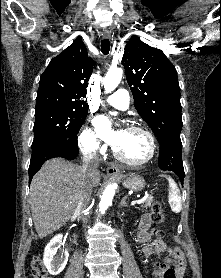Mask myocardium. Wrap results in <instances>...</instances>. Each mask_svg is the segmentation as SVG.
Masks as SVG:
<instances>
[{"instance_id": "1", "label": "myocardium", "mask_w": 221, "mask_h": 278, "mask_svg": "<svg viewBox=\"0 0 221 278\" xmlns=\"http://www.w3.org/2000/svg\"><path fill=\"white\" fill-rule=\"evenodd\" d=\"M127 131H134V132H140L143 133L148 141H149V153L148 156L143 159V160H139V161H133V160H129L127 158H125L124 156H122L116 148L113 149V155L114 157L119 160L120 162L132 166V167H141L144 166L146 164H148L149 162H151L155 155H156V140L155 137L153 135V133L141 126H130L127 128Z\"/></svg>"}]
</instances>
